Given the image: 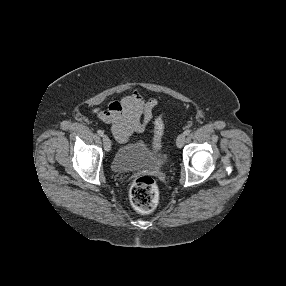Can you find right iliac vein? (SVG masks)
Instances as JSON below:
<instances>
[{
  "label": "right iliac vein",
  "instance_id": "obj_1",
  "mask_svg": "<svg viewBox=\"0 0 286 286\" xmlns=\"http://www.w3.org/2000/svg\"><path fill=\"white\" fill-rule=\"evenodd\" d=\"M103 145H104V149L106 152H109L111 150V141L109 139V137L107 135H103Z\"/></svg>",
  "mask_w": 286,
  "mask_h": 286
}]
</instances>
